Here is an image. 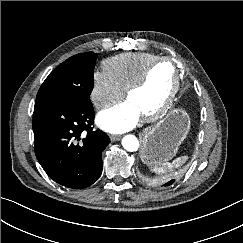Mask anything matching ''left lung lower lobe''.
<instances>
[{"mask_svg": "<svg viewBox=\"0 0 243 243\" xmlns=\"http://www.w3.org/2000/svg\"><path fill=\"white\" fill-rule=\"evenodd\" d=\"M174 182V180L169 181L168 183L165 184V186H169Z\"/></svg>", "mask_w": 243, "mask_h": 243, "instance_id": "left-lung-lower-lobe-1", "label": "left lung lower lobe"}]
</instances>
